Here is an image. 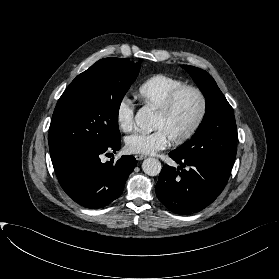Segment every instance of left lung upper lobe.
I'll return each instance as SVG.
<instances>
[{"label": "left lung upper lobe", "instance_id": "1", "mask_svg": "<svg viewBox=\"0 0 279 279\" xmlns=\"http://www.w3.org/2000/svg\"><path fill=\"white\" fill-rule=\"evenodd\" d=\"M206 99V113L192 138L173 150L182 158L212 160L231 169L236 157L237 128L233 108L206 71L184 65Z\"/></svg>", "mask_w": 279, "mask_h": 279}]
</instances>
